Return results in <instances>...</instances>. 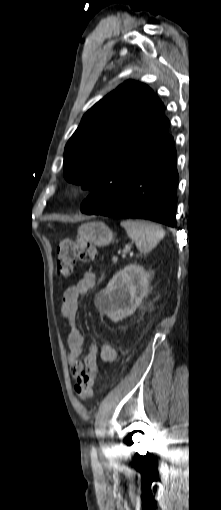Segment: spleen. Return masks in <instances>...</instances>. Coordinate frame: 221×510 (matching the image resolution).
I'll return each instance as SVG.
<instances>
[{"label":"spleen","mask_w":221,"mask_h":510,"mask_svg":"<svg viewBox=\"0 0 221 510\" xmlns=\"http://www.w3.org/2000/svg\"><path fill=\"white\" fill-rule=\"evenodd\" d=\"M121 226L141 253L150 252L163 239L165 231L156 224L142 220H124Z\"/></svg>","instance_id":"obj_1"}]
</instances>
